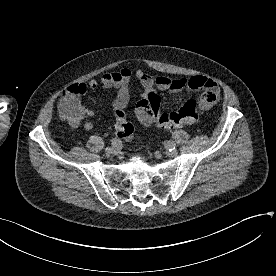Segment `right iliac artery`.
Listing matches in <instances>:
<instances>
[{"instance_id": "obj_1", "label": "right iliac artery", "mask_w": 276, "mask_h": 276, "mask_svg": "<svg viewBox=\"0 0 276 276\" xmlns=\"http://www.w3.org/2000/svg\"><path fill=\"white\" fill-rule=\"evenodd\" d=\"M112 146H121V142L117 139L112 140Z\"/></svg>"}]
</instances>
